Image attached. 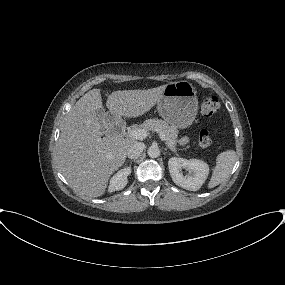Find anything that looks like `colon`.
Segmentation results:
<instances>
[{
	"mask_svg": "<svg viewBox=\"0 0 285 285\" xmlns=\"http://www.w3.org/2000/svg\"><path fill=\"white\" fill-rule=\"evenodd\" d=\"M220 109V102L216 96L205 95L201 99L200 110L203 116L210 117ZM211 137L206 130L199 134L198 145L201 148H208L211 145Z\"/></svg>",
	"mask_w": 285,
	"mask_h": 285,
	"instance_id": "1",
	"label": "colon"
}]
</instances>
